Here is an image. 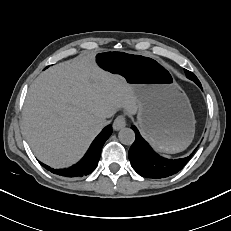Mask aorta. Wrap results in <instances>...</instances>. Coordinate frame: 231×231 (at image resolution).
<instances>
[{"label":"aorta","instance_id":"aorta-1","mask_svg":"<svg viewBox=\"0 0 231 231\" xmlns=\"http://www.w3.org/2000/svg\"><path fill=\"white\" fill-rule=\"evenodd\" d=\"M119 141L125 145H131L135 140V133L130 128H123L118 134Z\"/></svg>","mask_w":231,"mask_h":231}]
</instances>
